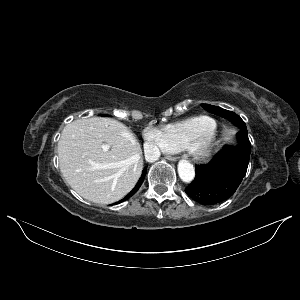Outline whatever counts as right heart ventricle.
I'll list each match as a JSON object with an SVG mask.
<instances>
[{
  "label": "right heart ventricle",
  "mask_w": 300,
  "mask_h": 300,
  "mask_svg": "<svg viewBox=\"0 0 300 300\" xmlns=\"http://www.w3.org/2000/svg\"><path fill=\"white\" fill-rule=\"evenodd\" d=\"M217 128L216 121L209 116H195L165 125L162 132L171 152L190 150L203 135Z\"/></svg>",
  "instance_id": "1"
}]
</instances>
